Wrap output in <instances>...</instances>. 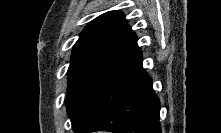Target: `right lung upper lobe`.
<instances>
[{"label": "right lung upper lobe", "instance_id": "obj_1", "mask_svg": "<svg viewBox=\"0 0 221 133\" xmlns=\"http://www.w3.org/2000/svg\"><path fill=\"white\" fill-rule=\"evenodd\" d=\"M142 54L136 35L119 11L106 12L91 21L73 46L68 71L105 72Z\"/></svg>", "mask_w": 221, "mask_h": 133}]
</instances>
